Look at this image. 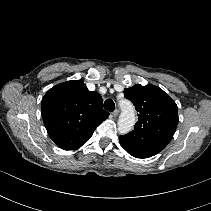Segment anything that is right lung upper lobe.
<instances>
[{
    "mask_svg": "<svg viewBox=\"0 0 211 211\" xmlns=\"http://www.w3.org/2000/svg\"><path fill=\"white\" fill-rule=\"evenodd\" d=\"M102 103L100 94L90 92L82 80L52 87L43 97L41 109L49 136L61 149H78L108 118Z\"/></svg>",
    "mask_w": 211,
    "mask_h": 211,
    "instance_id": "right-lung-upper-lobe-1",
    "label": "right lung upper lobe"
}]
</instances>
